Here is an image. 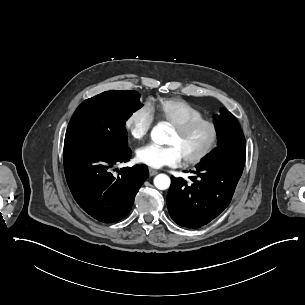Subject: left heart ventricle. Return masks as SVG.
Here are the masks:
<instances>
[{"label":"left heart ventricle","mask_w":305,"mask_h":305,"mask_svg":"<svg viewBox=\"0 0 305 305\" xmlns=\"http://www.w3.org/2000/svg\"><path fill=\"white\" fill-rule=\"evenodd\" d=\"M212 130L207 125H200L187 133H180L172 128L167 143L175 145L182 158L199 154L211 141Z\"/></svg>","instance_id":"1"}]
</instances>
